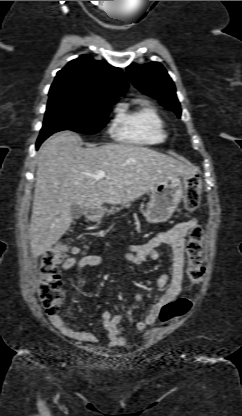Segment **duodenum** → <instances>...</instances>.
Returning <instances> with one entry per match:
<instances>
[{
  "label": "duodenum",
  "instance_id": "obj_1",
  "mask_svg": "<svg viewBox=\"0 0 242 416\" xmlns=\"http://www.w3.org/2000/svg\"><path fill=\"white\" fill-rule=\"evenodd\" d=\"M101 211V208L99 207H91L87 210V216L88 217H96Z\"/></svg>",
  "mask_w": 242,
  "mask_h": 416
}]
</instances>
